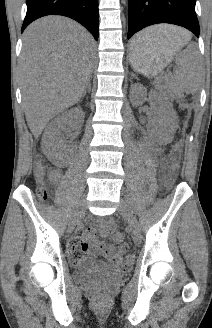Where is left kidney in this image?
Returning <instances> with one entry per match:
<instances>
[{"label":"left kidney","mask_w":212,"mask_h":328,"mask_svg":"<svg viewBox=\"0 0 212 328\" xmlns=\"http://www.w3.org/2000/svg\"><path fill=\"white\" fill-rule=\"evenodd\" d=\"M133 102L140 105L144 102L147 90L142 85H138L135 90ZM151 107L154 110L152 124L156 127L155 133L159 142H169L172 140L177 128V116L172 104L161 97L157 92L149 93Z\"/></svg>","instance_id":"obj_1"}]
</instances>
